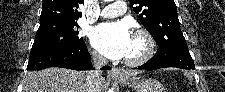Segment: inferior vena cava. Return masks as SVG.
<instances>
[{
  "label": "inferior vena cava",
  "instance_id": "1",
  "mask_svg": "<svg viewBox=\"0 0 225 92\" xmlns=\"http://www.w3.org/2000/svg\"><path fill=\"white\" fill-rule=\"evenodd\" d=\"M92 63H93V65L96 69L89 72L88 77H87V81H88V85L90 86L89 91L90 92H97L100 77L102 75L100 67L106 65L107 61L104 57H102V56L98 55L97 53L93 52L92 53Z\"/></svg>",
  "mask_w": 225,
  "mask_h": 92
}]
</instances>
